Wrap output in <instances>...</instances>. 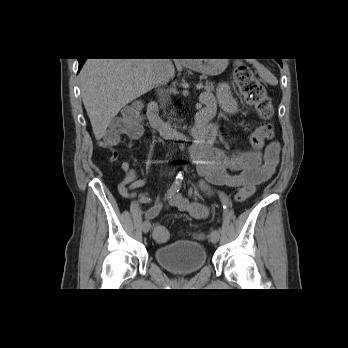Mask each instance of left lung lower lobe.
Segmentation results:
<instances>
[{
    "instance_id": "1",
    "label": "left lung lower lobe",
    "mask_w": 348,
    "mask_h": 348,
    "mask_svg": "<svg viewBox=\"0 0 348 348\" xmlns=\"http://www.w3.org/2000/svg\"><path fill=\"white\" fill-rule=\"evenodd\" d=\"M276 60V59H275ZM281 66H282V62L281 60H276Z\"/></svg>"
}]
</instances>
